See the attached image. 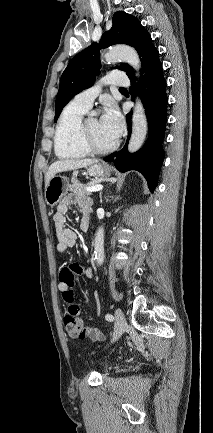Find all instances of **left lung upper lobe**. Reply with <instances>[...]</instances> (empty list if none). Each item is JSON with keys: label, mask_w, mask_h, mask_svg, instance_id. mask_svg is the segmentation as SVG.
Segmentation results:
<instances>
[{"label": "left lung upper lobe", "mask_w": 213, "mask_h": 433, "mask_svg": "<svg viewBox=\"0 0 213 433\" xmlns=\"http://www.w3.org/2000/svg\"><path fill=\"white\" fill-rule=\"evenodd\" d=\"M114 44H127L134 47L141 56L142 63L146 55L155 48L150 34L137 18L123 11L116 12L111 29L104 33L100 42H94L78 53L64 70L56 97L54 122L57 121L64 106L76 94L92 86L101 67L99 50ZM119 68L128 76L133 74V69L128 64H121Z\"/></svg>", "instance_id": "5c2ea615"}]
</instances>
